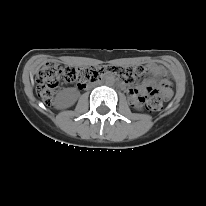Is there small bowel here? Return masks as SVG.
Listing matches in <instances>:
<instances>
[{
    "label": "small bowel",
    "instance_id": "c3829d8e",
    "mask_svg": "<svg viewBox=\"0 0 206 206\" xmlns=\"http://www.w3.org/2000/svg\"><path fill=\"white\" fill-rule=\"evenodd\" d=\"M151 71L155 76H161V75H164L166 73L165 69L162 66H159V65H152ZM142 91H143V87H141V88H130L128 90V93L131 96V98L133 100H135L137 98V96L142 93Z\"/></svg>",
    "mask_w": 206,
    "mask_h": 206
}]
</instances>
